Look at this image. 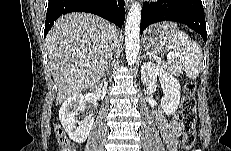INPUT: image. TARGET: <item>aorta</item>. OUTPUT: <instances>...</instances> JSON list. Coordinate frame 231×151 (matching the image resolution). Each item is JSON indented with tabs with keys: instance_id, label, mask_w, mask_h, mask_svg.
Returning a JSON list of instances; mask_svg holds the SVG:
<instances>
[{
	"instance_id": "1",
	"label": "aorta",
	"mask_w": 231,
	"mask_h": 151,
	"mask_svg": "<svg viewBox=\"0 0 231 151\" xmlns=\"http://www.w3.org/2000/svg\"><path fill=\"white\" fill-rule=\"evenodd\" d=\"M140 21L141 5L135 1L128 12L125 26V53L129 66L136 62L140 50Z\"/></svg>"
}]
</instances>
